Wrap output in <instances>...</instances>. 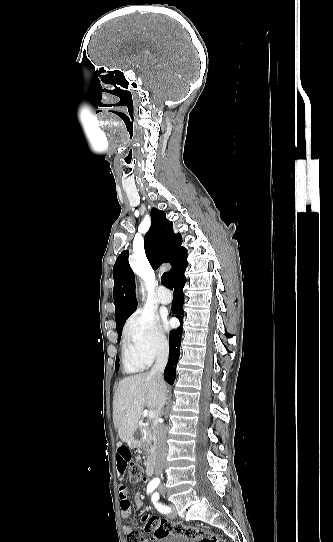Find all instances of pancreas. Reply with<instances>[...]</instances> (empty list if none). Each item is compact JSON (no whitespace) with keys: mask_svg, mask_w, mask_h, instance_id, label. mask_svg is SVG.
Here are the masks:
<instances>
[{"mask_svg":"<svg viewBox=\"0 0 333 542\" xmlns=\"http://www.w3.org/2000/svg\"><path fill=\"white\" fill-rule=\"evenodd\" d=\"M144 436L146 440H144V444L142 446L146 458H149L150 460H154L156 456V430L155 426H148V428H144Z\"/></svg>","mask_w":333,"mask_h":542,"instance_id":"obj_1","label":"pancreas"}]
</instances>
